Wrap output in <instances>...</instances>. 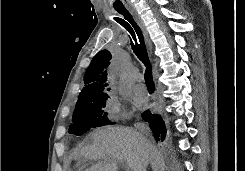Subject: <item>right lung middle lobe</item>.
Instances as JSON below:
<instances>
[{
  "mask_svg": "<svg viewBox=\"0 0 245 171\" xmlns=\"http://www.w3.org/2000/svg\"><path fill=\"white\" fill-rule=\"evenodd\" d=\"M107 94L97 95L88 99L78 100L75 106L72 122L68 133L76 136L82 135L91 128L114 124L107 118L105 107Z\"/></svg>",
  "mask_w": 245,
  "mask_h": 171,
  "instance_id": "obj_1",
  "label": "right lung middle lobe"
}]
</instances>
